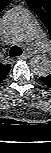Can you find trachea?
<instances>
[{"mask_svg": "<svg viewBox=\"0 0 51 153\" xmlns=\"http://www.w3.org/2000/svg\"><path fill=\"white\" fill-rule=\"evenodd\" d=\"M22 50L20 47L18 46H12L10 51H9V54L11 57H17V56H20L22 55Z\"/></svg>", "mask_w": 51, "mask_h": 153, "instance_id": "trachea-1", "label": "trachea"}]
</instances>
